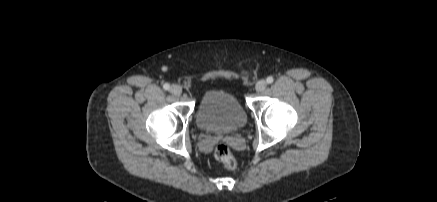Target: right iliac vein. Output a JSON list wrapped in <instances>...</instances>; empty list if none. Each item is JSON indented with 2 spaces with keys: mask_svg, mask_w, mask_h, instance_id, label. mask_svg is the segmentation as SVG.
Returning a JSON list of instances; mask_svg holds the SVG:
<instances>
[{
  "mask_svg": "<svg viewBox=\"0 0 437 202\" xmlns=\"http://www.w3.org/2000/svg\"><path fill=\"white\" fill-rule=\"evenodd\" d=\"M170 92L175 96H179L182 93V88L179 85H172Z\"/></svg>",
  "mask_w": 437,
  "mask_h": 202,
  "instance_id": "right-iliac-vein-1",
  "label": "right iliac vein"
}]
</instances>
